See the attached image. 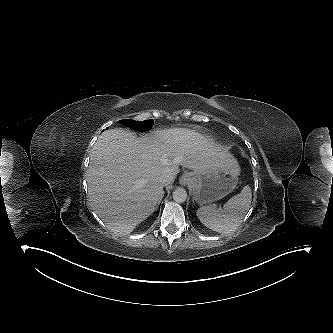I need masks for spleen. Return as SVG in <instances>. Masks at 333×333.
Instances as JSON below:
<instances>
[{
    "label": "spleen",
    "instance_id": "spleen-1",
    "mask_svg": "<svg viewBox=\"0 0 333 333\" xmlns=\"http://www.w3.org/2000/svg\"><path fill=\"white\" fill-rule=\"evenodd\" d=\"M251 199V188L245 186L240 194L230 198L223 208L202 206L196 214L201 223L207 228L219 233H229L236 230L241 224L249 210Z\"/></svg>",
    "mask_w": 333,
    "mask_h": 333
}]
</instances>
